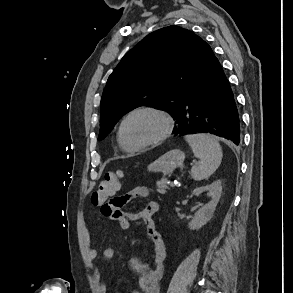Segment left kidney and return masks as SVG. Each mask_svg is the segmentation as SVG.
Returning a JSON list of instances; mask_svg holds the SVG:
<instances>
[{"instance_id":"obj_1","label":"left kidney","mask_w":293,"mask_h":293,"mask_svg":"<svg viewBox=\"0 0 293 293\" xmlns=\"http://www.w3.org/2000/svg\"><path fill=\"white\" fill-rule=\"evenodd\" d=\"M205 191H209L211 193V200L195 213L193 219L188 225L191 230L200 229L212 218L222 192L221 181H214L209 185L198 187L193 191V195L199 196Z\"/></svg>"}]
</instances>
